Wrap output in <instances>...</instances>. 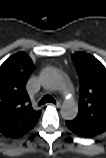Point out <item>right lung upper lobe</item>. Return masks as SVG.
<instances>
[{"label":"right lung upper lobe","instance_id":"right-lung-upper-lobe-1","mask_svg":"<svg viewBox=\"0 0 106 158\" xmlns=\"http://www.w3.org/2000/svg\"><path fill=\"white\" fill-rule=\"evenodd\" d=\"M33 61L25 52L9 57L0 66V133L17 138L30 131L41 111L32 108L26 82Z\"/></svg>","mask_w":106,"mask_h":158}]
</instances>
